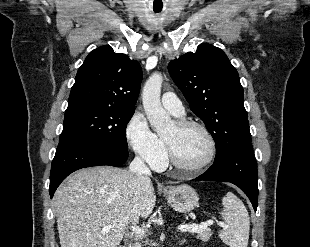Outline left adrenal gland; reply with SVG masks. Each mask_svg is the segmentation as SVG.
Instances as JSON below:
<instances>
[{
    "mask_svg": "<svg viewBox=\"0 0 310 247\" xmlns=\"http://www.w3.org/2000/svg\"><path fill=\"white\" fill-rule=\"evenodd\" d=\"M185 242H186V240L184 239V240H181V241L179 242V244L182 245V244H184Z\"/></svg>",
    "mask_w": 310,
    "mask_h": 247,
    "instance_id": "left-adrenal-gland-1",
    "label": "left adrenal gland"
}]
</instances>
